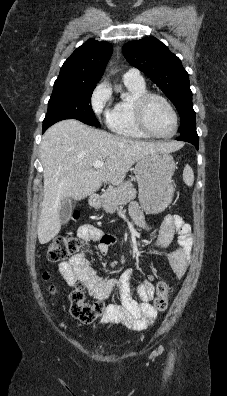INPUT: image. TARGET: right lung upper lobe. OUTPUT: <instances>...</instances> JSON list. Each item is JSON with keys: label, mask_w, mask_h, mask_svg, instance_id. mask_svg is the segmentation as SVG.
Returning a JSON list of instances; mask_svg holds the SVG:
<instances>
[{"label": "right lung upper lobe", "mask_w": 227, "mask_h": 396, "mask_svg": "<svg viewBox=\"0 0 227 396\" xmlns=\"http://www.w3.org/2000/svg\"><path fill=\"white\" fill-rule=\"evenodd\" d=\"M111 54L110 43L90 39L77 48L64 62L59 77L70 80L99 81Z\"/></svg>", "instance_id": "cb5924a9"}]
</instances>
